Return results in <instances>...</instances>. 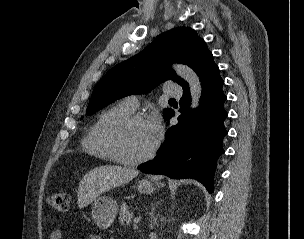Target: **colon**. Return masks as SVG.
<instances>
[{"instance_id": "5ec220e1", "label": "colon", "mask_w": 304, "mask_h": 239, "mask_svg": "<svg viewBox=\"0 0 304 239\" xmlns=\"http://www.w3.org/2000/svg\"><path fill=\"white\" fill-rule=\"evenodd\" d=\"M49 205L58 212H65L69 208L70 195L66 192L51 194L48 198Z\"/></svg>"}]
</instances>
